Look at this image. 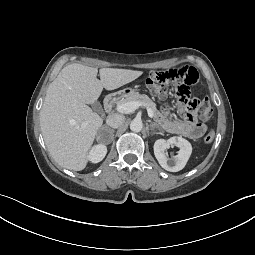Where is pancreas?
Segmentation results:
<instances>
[{
  "mask_svg": "<svg viewBox=\"0 0 255 255\" xmlns=\"http://www.w3.org/2000/svg\"><path fill=\"white\" fill-rule=\"evenodd\" d=\"M132 101L140 102L143 107H149L153 111L154 115H158L156 104L145 94L135 93L131 96H127L126 98L120 99L117 103L122 104V103H127Z\"/></svg>",
  "mask_w": 255,
  "mask_h": 255,
  "instance_id": "1",
  "label": "pancreas"
}]
</instances>
